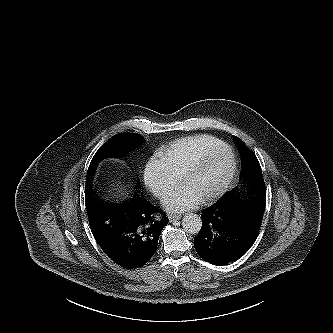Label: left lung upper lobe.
<instances>
[{
    "label": "left lung upper lobe",
    "mask_w": 333,
    "mask_h": 333,
    "mask_svg": "<svg viewBox=\"0 0 333 333\" xmlns=\"http://www.w3.org/2000/svg\"><path fill=\"white\" fill-rule=\"evenodd\" d=\"M235 144L241 156V182L243 186L257 183L263 180L261 166L255 154L248 149L245 143L236 136H233Z\"/></svg>",
    "instance_id": "obj_1"
}]
</instances>
